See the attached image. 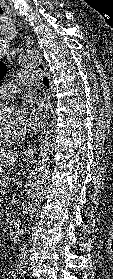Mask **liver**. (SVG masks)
Returning a JSON list of instances; mask_svg holds the SVG:
<instances>
[{
	"instance_id": "liver-1",
	"label": "liver",
	"mask_w": 113,
	"mask_h": 279,
	"mask_svg": "<svg viewBox=\"0 0 113 279\" xmlns=\"http://www.w3.org/2000/svg\"><path fill=\"white\" fill-rule=\"evenodd\" d=\"M19 154L11 150H1L0 151V169L5 165H11L17 160Z\"/></svg>"
}]
</instances>
